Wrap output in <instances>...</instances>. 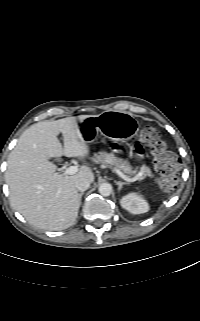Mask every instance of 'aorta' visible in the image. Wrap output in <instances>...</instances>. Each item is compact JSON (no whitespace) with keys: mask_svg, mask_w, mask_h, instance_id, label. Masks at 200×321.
<instances>
[{"mask_svg":"<svg viewBox=\"0 0 200 321\" xmlns=\"http://www.w3.org/2000/svg\"><path fill=\"white\" fill-rule=\"evenodd\" d=\"M99 193L102 195V196H109L111 195L112 193V186L111 184L109 183H102L100 186H99Z\"/></svg>","mask_w":200,"mask_h":321,"instance_id":"1","label":"aorta"}]
</instances>
